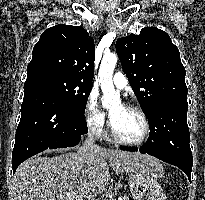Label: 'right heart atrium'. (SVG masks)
<instances>
[{"instance_id": "obj_1", "label": "right heart atrium", "mask_w": 205, "mask_h": 200, "mask_svg": "<svg viewBox=\"0 0 205 200\" xmlns=\"http://www.w3.org/2000/svg\"><path fill=\"white\" fill-rule=\"evenodd\" d=\"M84 118L88 130L94 136L99 137L104 134L106 129V117L98 104L97 95L94 93H91L88 97Z\"/></svg>"}]
</instances>
